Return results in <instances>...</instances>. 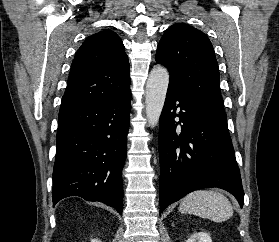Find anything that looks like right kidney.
Wrapping results in <instances>:
<instances>
[{"label":"right kidney","mask_w":279,"mask_h":242,"mask_svg":"<svg viewBox=\"0 0 279 242\" xmlns=\"http://www.w3.org/2000/svg\"><path fill=\"white\" fill-rule=\"evenodd\" d=\"M91 242H101V241H100V240L95 239V240H92Z\"/></svg>","instance_id":"ca27d5eb"}]
</instances>
